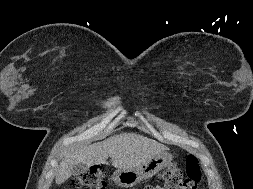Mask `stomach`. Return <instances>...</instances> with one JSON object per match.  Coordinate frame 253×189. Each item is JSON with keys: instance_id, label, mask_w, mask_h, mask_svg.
Masks as SVG:
<instances>
[{"instance_id": "obj_1", "label": "stomach", "mask_w": 253, "mask_h": 189, "mask_svg": "<svg viewBox=\"0 0 253 189\" xmlns=\"http://www.w3.org/2000/svg\"><path fill=\"white\" fill-rule=\"evenodd\" d=\"M171 161L172 155L162 152L136 168L117 169L113 173L112 180L120 187L131 188L169 166Z\"/></svg>"}]
</instances>
